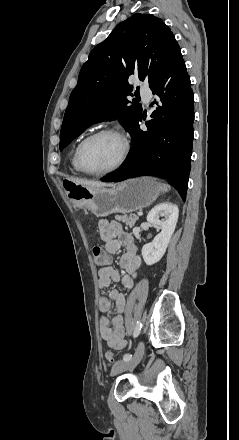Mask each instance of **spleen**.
<instances>
[{"instance_id": "obj_1", "label": "spleen", "mask_w": 239, "mask_h": 440, "mask_svg": "<svg viewBox=\"0 0 239 440\" xmlns=\"http://www.w3.org/2000/svg\"><path fill=\"white\" fill-rule=\"evenodd\" d=\"M162 188L164 192H168V190H170V186H168V184H163Z\"/></svg>"}]
</instances>
